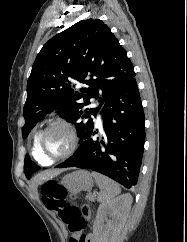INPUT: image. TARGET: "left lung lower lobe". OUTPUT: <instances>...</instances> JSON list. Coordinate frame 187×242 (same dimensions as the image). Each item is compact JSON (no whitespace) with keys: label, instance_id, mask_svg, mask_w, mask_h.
Here are the masks:
<instances>
[{"label":"left lung lower lobe","instance_id":"0a47b994","mask_svg":"<svg viewBox=\"0 0 187 242\" xmlns=\"http://www.w3.org/2000/svg\"><path fill=\"white\" fill-rule=\"evenodd\" d=\"M100 114L101 136L92 126L74 154L57 167L90 169L129 189L137 184L145 142L144 111L134 77L105 102Z\"/></svg>","mask_w":187,"mask_h":242}]
</instances>
